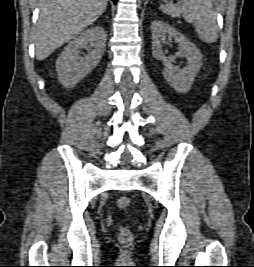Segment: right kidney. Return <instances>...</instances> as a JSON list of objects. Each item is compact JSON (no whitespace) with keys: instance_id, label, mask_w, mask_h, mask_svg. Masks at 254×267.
<instances>
[{"instance_id":"right-kidney-1","label":"right kidney","mask_w":254,"mask_h":267,"mask_svg":"<svg viewBox=\"0 0 254 267\" xmlns=\"http://www.w3.org/2000/svg\"><path fill=\"white\" fill-rule=\"evenodd\" d=\"M106 39L105 29L95 26L83 31L69 42L56 61L58 79L64 87H74L98 65L104 53ZM83 48L92 50L88 55L81 57L79 54Z\"/></svg>"}]
</instances>
